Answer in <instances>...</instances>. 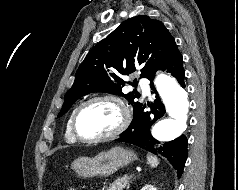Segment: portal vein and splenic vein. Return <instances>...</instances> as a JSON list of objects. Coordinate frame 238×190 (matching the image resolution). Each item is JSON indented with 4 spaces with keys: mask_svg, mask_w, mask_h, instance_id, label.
Segmentation results:
<instances>
[{
    "mask_svg": "<svg viewBox=\"0 0 238 190\" xmlns=\"http://www.w3.org/2000/svg\"><path fill=\"white\" fill-rule=\"evenodd\" d=\"M124 178H128V176H127V175H125V176H124Z\"/></svg>",
    "mask_w": 238,
    "mask_h": 190,
    "instance_id": "portal-vein-and-splenic-vein-1",
    "label": "portal vein and splenic vein"
}]
</instances>
